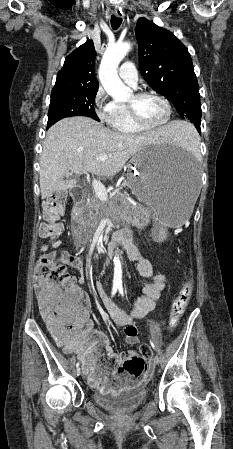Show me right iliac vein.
Wrapping results in <instances>:
<instances>
[{
	"label": "right iliac vein",
	"mask_w": 233,
	"mask_h": 449,
	"mask_svg": "<svg viewBox=\"0 0 233 449\" xmlns=\"http://www.w3.org/2000/svg\"><path fill=\"white\" fill-rule=\"evenodd\" d=\"M81 374V370H80V368H77V370H76V376H79Z\"/></svg>",
	"instance_id": "obj_1"
}]
</instances>
